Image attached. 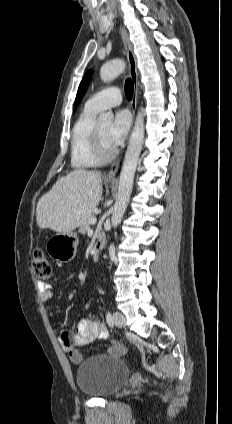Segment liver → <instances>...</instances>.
I'll return each instance as SVG.
<instances>
[{"label":"liver","instance_id":"1","mask_svg":"<svg viewBox=\"0 0 232 424\" xmlns=\"http://www.w3.org/2000/svg\"><path fill=\"white\" fill-rule=\"evenodd\" d=\"M102 174L76 169L61 177L43 195L36 208L41 229L71 233L93 213L102 197Z\"/></svg>","mask_w":232,"mask_h":424}]
</instances>
